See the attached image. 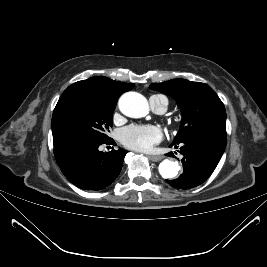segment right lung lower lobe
Instances as JSON below:
<instances>
[{
  "label": "right lung lower lobe",
  "mask_w": 267,
  "mask_h": 267,
  "mask_svg": "<svg viewBox=\"0 0 267 267\" xmlns=\"http://www.w3.org/2000/svg\"><path fill=\"white\" fill-rule=\"evenodd\" d=\"M113 144V139L105 142L73 141L54 147L58 166L65 177L78 188L98 191L105 189L118 177L123 159L128 151L119 148L103 153L101 144Z\"/></svg>",
  "instance_id": "right-lung-lower-lobe-1"
}]
</instances>
